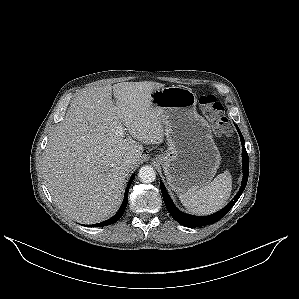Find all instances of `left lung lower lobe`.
Here are the masks:
<instances>
[{
  "mask_svg": "<svg viewBox=\"0 0 299 299\" xmlns=\"http://www.w3.org/2000/svg\"><path fill=\"white\" fill-rule=\"evenodd\" d=\"M236 129L239 133L241 143H242V163H243V179L241 183L240 190L236 194V196L231 200V202L225 206L222 210L218 211L215 214L209 215V216H194V215H189L181 212L176 208V206L173 204L172 200L170 199L163 183H160L161 186V192L162 196L166 205L167 210L169 213L172 215V217L181 225L186 226V227H199V226H204L208 224H213L220 220L237 202L241 194L243 193L247 180H248V174H249V160H248V154L246 152V148L244 146V138L238 128L237 125Z\"/></svg>",
  "mask_w": 299,
  "mask_h": 299,
  "instance_id": "obj_1",
  "label": "left lung lower lobe"
}]
</instances>
